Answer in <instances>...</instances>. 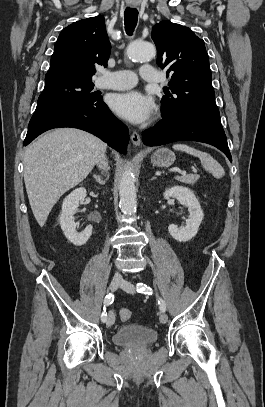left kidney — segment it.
I'll return each instance as SVG.
<instances>
[{"instance_id": "5707ae66", "label": "left kidney", "mask_w": 265, "mask_h": 407, "mask_svg": "<svg viewBox=\"0 0 265 407\" xmlns=\"http://www.w3.org/2000/svg\"><path fill=\"white\" fill-rule=\"evenodd\" d=\"M176 198L181 204L188 207L189 218L186 220V225L177 227L174 224L169 225L168 231L170 235L179 242H187L191 240L198 232V228L203 220L204 214L200 203L194 193L186 187L174 186L164 192V198Z\"/></svg>"}]
</instances>
